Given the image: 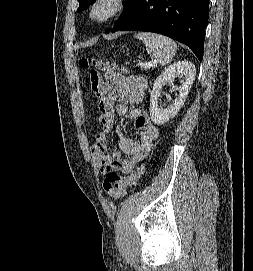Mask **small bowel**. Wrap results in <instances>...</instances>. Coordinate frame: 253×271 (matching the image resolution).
Masks as SVG:
<instances>
[{
  "instance_id": "1",
  "label": "small bowel",
  "mask_w": 253,
  "mask_h": 271,
  "mask_svg": "<svg viewBox=\"0 0 253 271\" xmlns=\"http://www.w3.org/2000/svg\"><path fill=\"white\" fill-rule=\"evenodd\" d=\"M105 74L107 82L99 77L102 88L96 94L98 119L103 130L96 134L91 151L99 170L107 178L110 173L122 175L132 172L135 165L150 152L153 142L159 136V129L151 122L146 111L140 108L128 111V104L142 101L147 87L145 79L141 76L124 75L116 70L106 71ZM124 115L134 121L138 139L126 138L118 129V148L111 154L107 133L113 129L115 117Z\"/></svg>"
}]
</instances>
